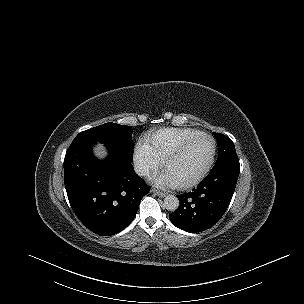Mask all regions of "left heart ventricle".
I'll return each instance as SVG.
<instances>
[{"label": "left heart ventricle", "instance_id": "1", "mask_svg": "<svg viewBox=\"0 0 304 304\" xmlns=\"http://www.w3.org/2000/svg\"><path fill=\"white\" fill-rule=\"evenodd\" d=\"M212 147L210 139L202 138L198 140L169 164L167 174L176 183L187 182L195 178L208 162Z\"/></svg>", "mask_w": 304, "mask_h": 304}]
</instances>
